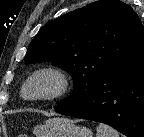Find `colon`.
<instances>
[{"label":"colon","mask_w":144,"mask_h":137,"mask_svg":"<svg viewBox=\"0 0 144 137\" xmlns=\"http://www.w3.org/2000/svg\"><path fill=\"white\" fill-rule=\"evenodd\" d=\"M19 137H26L25 135H19Z\"/></svg>","instance_id":"obj_1"}]
</instances>
